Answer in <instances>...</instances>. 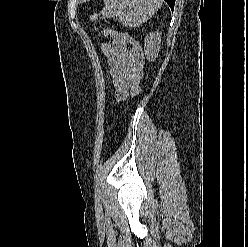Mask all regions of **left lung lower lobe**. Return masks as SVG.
<instances>
[{
	"mask_svg": "<svg viewBox=\"0 0 248 247\" xmlns=\"http://www.w3.org/2000/svg\"><path fill=\"white\" fill-rule=\"evenodd\" d=\"M168 5L170 6V8L173 10L174 9V4H175V0H165Z\"/></svg>",
	"mask_w": 248,
	"mask_h": 247,
	"instance_id": "left-lung-lower-lobe-1",
	"label": "left lung lower lobe"
}]
</instances>
